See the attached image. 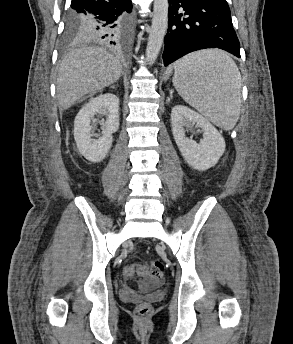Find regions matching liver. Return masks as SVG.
<instances>
[{
    "instance_id": "1",
    "label": "liver",
    "mask_w": 293,
    "mask_h": 344,
    "mask_svg": "<svg viewBox=\"0 0 293 344\" xmlns=\"http://www.w3.org/2000/svg\"><path fill=\"white\" fill-rule=\"evenodd\" d=\"M122 74L120 60L99 47H85L67 54L57 76L60 107L68 109L89 93L117 82Z\"/></svg>"
}]
</instances>
